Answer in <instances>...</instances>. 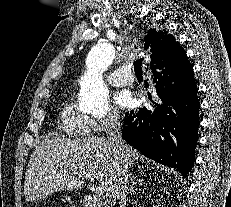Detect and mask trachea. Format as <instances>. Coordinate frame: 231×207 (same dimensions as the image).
I'll return each mask as SVG.
<instances>
[{"label": "trachea", "instance_id": "1", "mask_svg": "<svg viewBox=\"0 0 231 207\" xmlns=\"http://www.w3.org/2000/svg\"><path fill=\"white\" fill-rule=\"evenodd\" d=\"M142 62H143V58L141 59H137L134 62V71H135V75L137 77H142L143 71H142Z\"/></svg>", "mask_w": 231, "mask_h": 207}]
</instances>
